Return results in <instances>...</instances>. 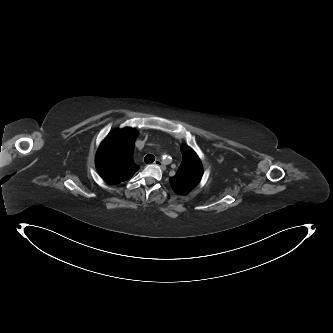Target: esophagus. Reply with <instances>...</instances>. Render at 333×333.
Wrapping results in <instances>:
<instances>
[{
  "mask_svg": "<svg viewBox=\"0 0 333 333\" xmlns=\"http://www.w3.org/2000/svg\"><path fill=\"white\" fill-rule=\"evenodd\" d=\"M155 165L160 166V167H164L162 161L160 159H156L154 162Z\"/></svg>",
  "mask_w": 333,
  "mask_h": 333,
  "instance_id": "esophagus-1",
  "label": "esophagus"
}]
</instances>
